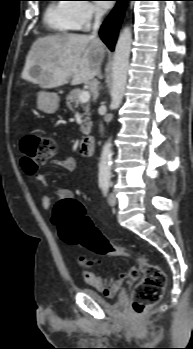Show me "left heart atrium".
<instances>
[{"label": "left heart atrium", "mask_w": 193, "mask_h": 349, "mask_svg": "<svg viewBox=\"0 0 193 349\" xmlns=\"http://www.w3.org/2000/svg\"><path fill=\"white\" fill-rule=\"evenodd\" d=\"M99 5V7H101L102 9H108L110 6H111V4H109V3H100V4H98Z\"/></svg>", "instance_id": "1"}]
</instances>
